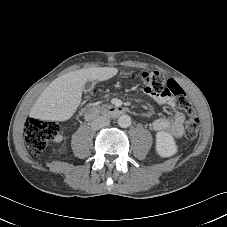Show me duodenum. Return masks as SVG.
I'll list each match as a JSON object with an SVG mask.
<instances>
[{"mask_svg": "<svg viewBox=\"0 0 227 227\" xmlns=\"http://www.w3.org/2000/svg\"><path fill=\"white\" fill-rule=\"evenodd\" d=\"M126 109L120 106H109L104 108H96V107H87L84 110V117L87 120H92L96 118L98 115H107L111 117H118L126 114Z\"/></svg>", "mask_w": 227, "mask_h": 227, "instance_id": "duodenum-1", "label": "duodenum"}]
</instances>
